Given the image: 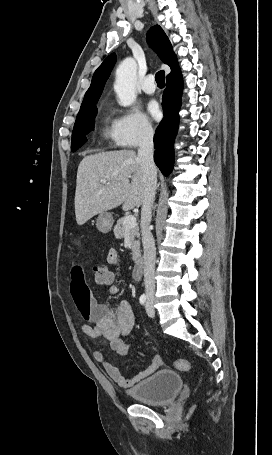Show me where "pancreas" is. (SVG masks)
<instances>
[{
	"instance_id": "pancreas-1",
	"label": "pancreas",
	"mask_w": 272,
	"mask_h": 455,
	"mask_svg": "<svg viewBox=\"0 0 272 455\" xmlns=\"http://www.w3.org/2000/svg\"><path fill=\"white\" fill-rule=\"evenodd\" d=\"M124 219L121 218L117 221L114 227V235L117 239H122L126 234L129 235L131 240L132 259L134 262H138L140 258V241H139V227L136 224L133 228L126 229L124 227Z\"/></svg>"
}]
</instances>
